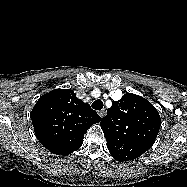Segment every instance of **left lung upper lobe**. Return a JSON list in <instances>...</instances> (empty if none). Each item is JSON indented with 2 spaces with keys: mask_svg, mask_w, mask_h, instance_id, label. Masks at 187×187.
<instances>
[{
  "mask_svg": "<svg viewBox=\"0 0 187 187\" xmlns=\"http://www.w3.org/2000/svg\"><path fill=\"white\" fill-rule=\"evenodd\" d=\"M100 125L111 155L128 161L138 158L153 145L161 119L147 99L126 93L119 101H112Z\"/></svg>",
  "mask_w": 187,
  "mask_h": 187,
  "instance_id": "5c2ea615",
  "label": "left lung upper lobe"
}]
</instances>
